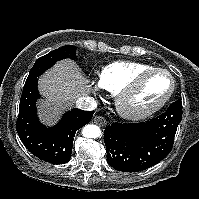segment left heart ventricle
<instances>
[{
  "mask_svg": "<svg viewBox=\"0 0 199 199\" xmlns=\"http://www.w3.org/2000/svg\"><path fill=\"white\" fill-rule=\"evenodd\" d=\"M171 82L164 74L149 76L131 98L130 104L134 107H150L160 101L169 91Z\"/></svg>",
  "mask_w": 199,
  "mask_h": 199,
  "instance_id": "1",
  "label": "left heart ventricle"
}]
</instances>
